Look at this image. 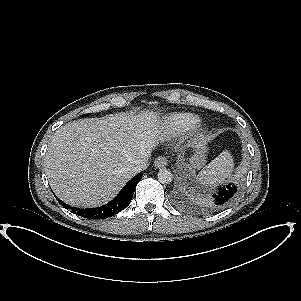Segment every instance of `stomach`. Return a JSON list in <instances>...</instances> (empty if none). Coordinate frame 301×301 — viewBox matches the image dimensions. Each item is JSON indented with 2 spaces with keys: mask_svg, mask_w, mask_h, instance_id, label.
Here are the masks:
<instances>
[{
  "mask_svg": "<svg viewBox=\"0 0 301 301\" xmlns=\"http://www.w3.org/2000/svg\"><path fill=\"white\" fill-rule=\"evenodd\" d=\"M207 147L204 144H199L196 147V154L190 159V164L194 168H200L205 161V153Z\"/></svg>",
  "mask_w": 301,
  "mask_h": 301,
  "instance_id": "stomach-1",
  "label": "stomach"
}]
</instances>
